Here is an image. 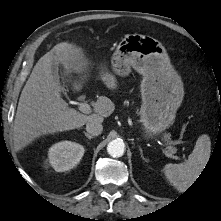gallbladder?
Masks as SVG:
<instances>
[{
	"mask_svg": "<svg viewBox=\"0 0 221 221\" xmlns=\"http://www.w3.org/2000/svg\"><path fill=\"white\" fill-rule=\"evenodd\" d=\"M52 74L54 75L55 80L58 82L59 91L62 92L64 95H66L65 88L61 86L59 83L58 64L56 62L52 63Z\"/></svg>",
	"mask_w": 221,
	"mask_h": 221,
	"instance_id": "1",
	"label": "gallbladder"
}]
</instances>
